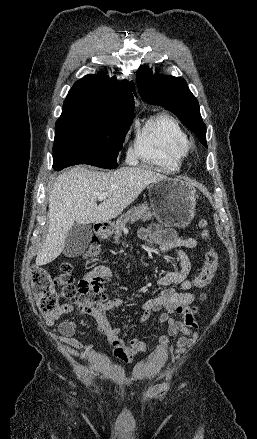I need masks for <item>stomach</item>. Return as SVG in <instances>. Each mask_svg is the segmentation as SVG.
I'll return each mask as SVG.
<instances>
[{
	"label": "stomach",
	"instance_id": "1",
	"mask_svg": "<svg viewBox=\"0 0 257 439\" xmlns=\"http://www.w3.org/2000/svg\"><path fill=\"white\" fill-rule=\"evenodd\" d=\"M151 208L155 217L165 224L187 226L195 215L196 189L178 178H164L148 187ZM103 236L106 233H102Z\"/></svg>",
	"mask_w": 257,
	"mask_h": 439
}]
</instances>
